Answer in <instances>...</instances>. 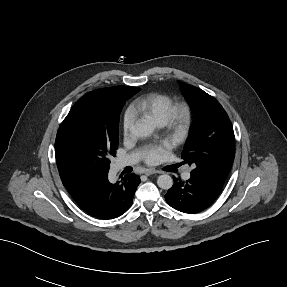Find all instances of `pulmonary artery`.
I'll return each instance as SVG.
<instances>
[{"label":"pulmonary artery","instance_id":"pulmonary-artery-1","mask_svg":"<svg viewBox=\"0 0 287 287\" xmlns=\"http://www.w3.org/2000/svg\"><path fill=\"white\" fill-rule=\"evenodd\" d=\"M138 158H139V156L136 153H133L129 156L123 157V158L118 160L116 167H117V169H122L126 166L132 165L138 161ZM182 176L184 179H189L191 177V170L186 169L183 172Z\"/></svg>","mask_w":287,"mask_h":287}]
</instances>
